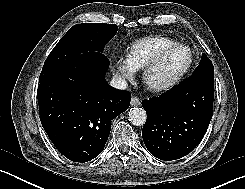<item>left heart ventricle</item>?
Returning <instances> with one entry per match:
<instances>
[{
    "instance_id": "obj_1",
    "label": "left heart ventricle",
    "mask_w": 245,
    "mask_h": 189,
    "mask_svg": "<svg viewBox=\"0 0 245 189\" xmlns=\"http://www.w3.org/2000/svg\"><path fill=\"white\" fill-rule=\"evenodd\" d=\"M189 53L184 48L170 52L161 64L150 73L151 84H163L173 79L187 65Z\"/></svg>"
}]
</instances>
